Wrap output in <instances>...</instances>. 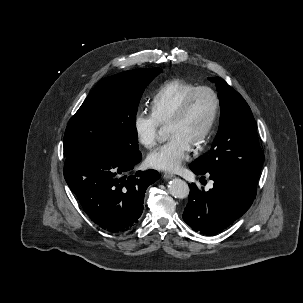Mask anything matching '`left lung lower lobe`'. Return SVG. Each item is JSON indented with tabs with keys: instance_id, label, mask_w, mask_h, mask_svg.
Segmentation results:
<instances>
[{
	"instance_id": "obj_1",
	"label": "left lung lower lobe",
	"mask_w": 303,
	"mask_h": 303,
	"mask_svg": "<svg viewBox=\"0 0 303 303\" xmlns=\"http://www.w3.org/2000/svg\"><path fill=\"white\" fill-rule=\"evenodd\" d=\"M197 175H208L213 188L205 191L190 184L189 201L183 219L194 231L214 235L240 218L251 206L257 185L246 178L212 169L207 172L190 166ZM205 178V177H201Z\"/></svg>"
}]
</instances>
